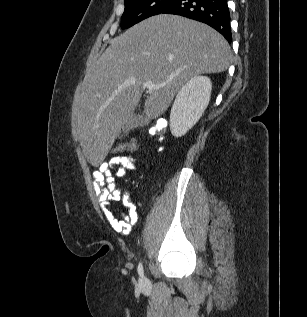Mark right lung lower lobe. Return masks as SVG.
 I'll return each instance as SVG.
<instances>
[{"label": "right lung lower lobe", "instance_id": "1", "mask_svg": "<svg viewBox=\"0 0 307 317\" xmlns=\"http://www.w3.org/2000/svg\"><path fill=\"white\" fill-rule=\"evenodd\" d=\"M163 14L181 15L208 24L231 43L230 13L227 0H174Z\"/></svg>", "mask_w": 307, "mask_h": 317}]
</instances>
